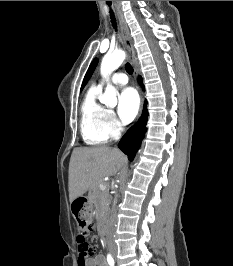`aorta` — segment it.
I'll return each mask as SVG.
<instances>
[{
	"mask_svg": "<svg viewBox=\"0 0 233 266\" xmlns=\"http://www.w3.org/2000/svg\"><path fill=\"white\" fill-rule=\"evenodd\" d=\"M126 54L122 50H117L112 54H108L104 56L101 62V75L106 80L107 86L105 88L104 94L100 97V102L114 107L117 104V90L115 89L112 84L109 82V76L112 74L113 71L119 68V66L125 60Z\"/></svg>",
	"mask_w": 233,
	"mask_h": 266,
	"instance_id": "762f6f07",
	"label": "aorta"
}]
</instances>
